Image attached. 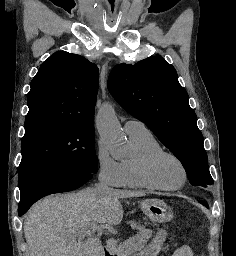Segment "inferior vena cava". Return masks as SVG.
<instances>
[{"label":"inferior vena cava","mask_w":236,"mask_h":256,"mask_svg":"<svg viewBox=\"0 0 236 256\" xmlns=\"http://www.w3.org/2000/svg\"><path fill=\"white\" fill-rule=\"evenodd\" d=\"M94 192L95 194H108V192H112V188H109L107 182H99L96 184Z\"/></svg>","instance_id":"602c4592"}]
</instances>
